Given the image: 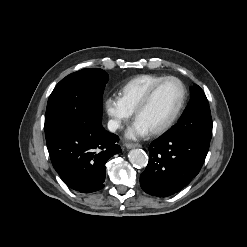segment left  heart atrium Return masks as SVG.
Listing matches in <instances>:
<instances>
[{"mask_svg":"<svg viewBox=\"0 0 247 247\" xmlns=\"http://www.w3.org/2000/svg\"><path fill=\"white\" fill-rule=\"evenodd\" d=\"M150 131L143 126L138 120H135L127 131V137L136 139L143 138L149 135Z\"/></svg>","mask_w":247,"mask_h":247,"instance_id":"left-heart-atrium-1","label":"left heart atrium"}]
</instances>
